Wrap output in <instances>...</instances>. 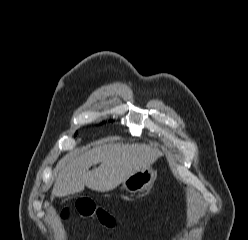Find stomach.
I'll list each match as a JSON object with an SVG mask.
<instances>
[{"mask_svg":"<svg viewBox=\"0 0 248 240\" xmlns=\"http://www.w3.org/2000/svg\"><path fill=\"white\" fill-rule=\"evenodd\" d=\"M156 178V171L149 167L137 171L129 176L123 183L122 188L128 192H142L150 188Z\"/></svg>","mask_w":248,"mask_h":240,"instance_id":"obj_1","label":"stomach"}]
</instances>
